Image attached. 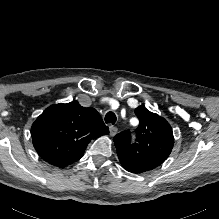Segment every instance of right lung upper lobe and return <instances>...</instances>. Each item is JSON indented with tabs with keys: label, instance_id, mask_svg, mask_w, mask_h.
<instances>
[{
	"label": "right lung upper lobe",
	"instance_id": "obj_1",
	"mask_svg": "<svg viewBox=\"0 0 219 219\" xmlns=\"http://www.w3.org/2000/svg\"><path fill=\"white\" fill-rule=\"evenodd\" d=\"M108 133L99 113L77 101L49 106L31 128L33 146L39 156L59 168L79 160L92 139Z\"/></svg>",
	"mask_w": 219,
	"mask_h": 219
}]
</instances>
